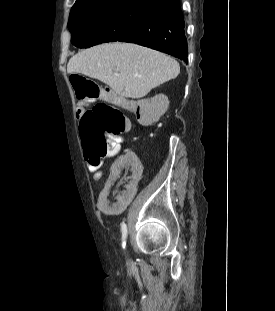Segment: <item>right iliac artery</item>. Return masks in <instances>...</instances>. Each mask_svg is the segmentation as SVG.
Returning <instances> with one entry per match:
<instances>
[{
  "instance_id": "82829eb1",
  "label": "right iliac artery",
  "mask_w": 275,
  "mask_h": 311,
  "mask_svg": "<svg viewBox=\"0 0 275 311\" xmlns=\"http://www.w3.org/2000/svg\"><path fill=\"white\" fill-rule=\"evenodd\" d=\"M121 232H122V239H123V248H125V239L127 237V226L125 223H121Z\"/></svg>"
}]
</instances>
